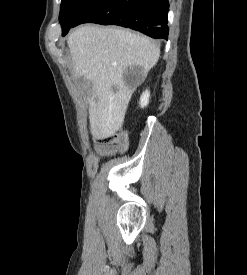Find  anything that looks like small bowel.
<instances>
[{
	"instance_id": "small-bowel-1",
	"label": "small bowel",
	"mask_w": 247,
	"mask_h": 275,
	"mask_svg": "<svg viewBox=\"0 0 247 275\" xmlns=\"http://www.w3.org/2000/svg\"><path fill=\"white\" fill-rule=\"evenodd\" d=\"M96 150L101 156H113L124 153L126 151V145H99L96 147Z\"/></svg>"
}]
</instances>
